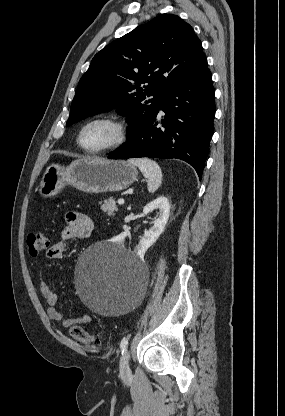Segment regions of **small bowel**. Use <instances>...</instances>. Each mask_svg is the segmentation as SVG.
<instances>
[{
    "label": "small bowel",
    "mask_w": 285,
    "mask_h": 416,
    "mask_svg": "<svg viewBox=\"0 0 285 416\" xmlns=\"http://www.w3.org/2000/svg\"><path fill=\"white\" fill-rule=\"evenodd\" d=\"M66 222L67 225L61 231L60 240L47 248L46 255L50 259L62 258L68 241L83 240L92 233L93 221L86 214L69 212L66 215ZM40 291L48 304L47 317L51 322L61 323L66 328L90 322V317L86 314L77 318L64 317L56 308L59 300L58 294L47 282H41Z\"/></svg>",
    "instance_id": "c3829d8e"
}]
</instances>
